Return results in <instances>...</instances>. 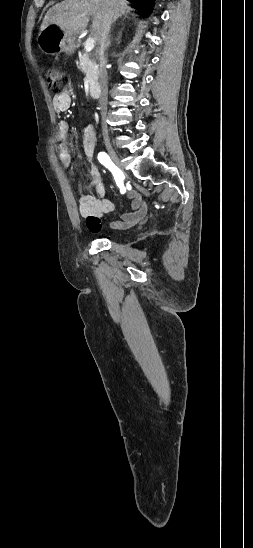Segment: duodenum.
Wrapping results in <instances>:
<instances>
[{
    "instance_id": "duodenum-1",
    "label": "duodenum",
    "mask_w": 253,
    "mask_h": 548,
    "mask_svg": "<svg viewBox=\"0 0 253 548\" xmlns=\"http://www.w3.org/2000/svg\"><path fill=\"white\" fill-rule=\"evenodd\" d=\"M100 93H101V91H100L99 86L94 85V86L91 87V89H90V95H91V97H93V98H99Z\"/></svg>"
}]
</instances>
